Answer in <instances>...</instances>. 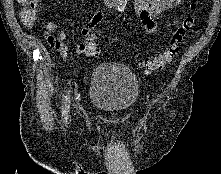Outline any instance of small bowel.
<instances>
[{"mask_svg": "<svg viewBox=\"0 0 221 174\" xmlns=\"http://www.w3.org/2000/svg\"><path fill=\"white\" fill-rule=\"evenodd\" d=\"M183 0H134L132 5L133 12L137 15L142 25V28L148 34H154L157 29L156 18L167 10L176 8L182 3ZM104 18V11L97 9L90 20L85 24L83 33H90ZM42 28L44 30L47 42L54 47L64 60H70L68 48L64 41L67 38L66 31H60L58 34L59 26L53 22L43 20ZM80 49H77V55H81Z\"/></svg>", "mask_w": 221, "mask_h": 174, "instance_id": "obj_1", "label": "small bowel"}]
</instances>
